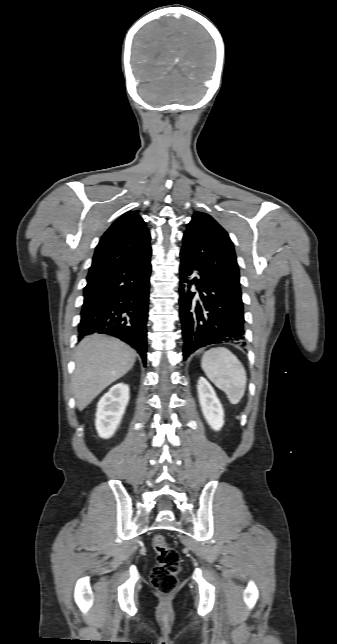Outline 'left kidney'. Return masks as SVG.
Masks as SVG:
<instances>
[{
  "instance_id": "obj_1",
  "label": "left kidney",
  "mask_w": 337,
  "mask_h": 644,
  "mask_svg": "<svg viewBox=\"0 0 337 644\" xmlns=\"http://www.w3.org/2000/svg\"><path fill=\"white\" fill-rule=\"evenodd\" d=\"M202 413L210 427L219 431L224 424V410L211 384L200 377L197 385Z\"/></svg>"
}]
</instances>
